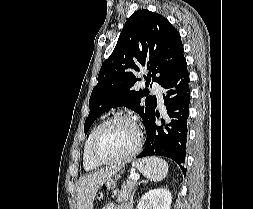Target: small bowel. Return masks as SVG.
<instances>
[{"instance_id": "c3829d8e", "label": "small bowel", "mask_w": 253, "mask_h": 209, "mask_svg": "<svg viewBox=\"0 0 253 209\" xmlns=\"http://www.w3.org/2000/svg\"><path fill=\"white\" fill-rule=\"evenodd\" d=\"M103 209H129L128 206L126 204H108L107 206H105Z\"/></svg>"}]
</instances>
